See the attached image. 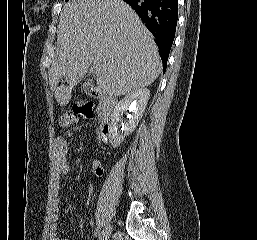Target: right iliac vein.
Returning a JSON list of instances; mask_svg holds the SVG:
<instances>
[{"label": "right iliac vein", "mask_w": 257, "mask_h": 240, "mask_svg": "<svg viewBox=\"0 0 257 240\" xmlns=\"http://www.w3.org/2000/svg\"><path fill=\"white\" fill-rule=\"evenodd\" d=\"M112 233V226L110 224L106 225L103 229L100 240H108L110 238V235Z\"/></svg>", "instance_id": "63e3f726"}]
</instances>
